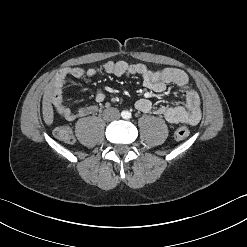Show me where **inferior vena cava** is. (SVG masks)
Instances as JSON below:
<instances>
[{
	"instance_id": "1",
	"label": "inferior vena cava",
	"mask_w": 247,
	"mask_h": 247,
	"mask_svg": "<svg viewBox=\"0 0 247 247\" xmlns=\"http://www.w3.org/2000/svg\"><path fill=\"white\" fill-rule=\"evenodd\" d=\"M103 116L107 120H114L120 117L119 110L116 108H109L103 112Z\"/></svg>"
}]
</instances>
